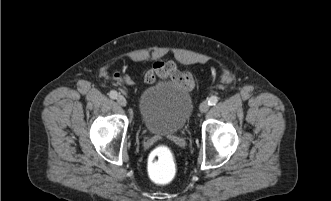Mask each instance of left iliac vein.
<instances>
[{
  "label": "left iliac vein",
  "instance_id": "4c4485c4",
  "mask_svg": "<svg viewBox=\"0 0 331 201\" xmlns=\"http://www.w3.org/2000/svg\"><path fill=\"white\" fill-rule=\"evenodd\" d=\"M209 107H210V105L208 104L207 101L202 102L200 105V108H199L200 112H202V113L207 112L209 110Z\"/></svg>",
  "mask_w": 331,
  "mask_h": 201
}]
</instances>
